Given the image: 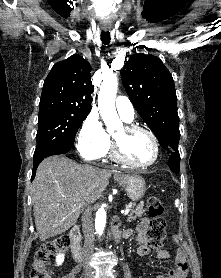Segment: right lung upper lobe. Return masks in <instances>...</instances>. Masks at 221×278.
Here are the masks:
<instances>
[{
    "label": "right lung upper lobe",
    "instance_id": "obj_1",
    "mask_svg": "<svg viewBox=\"0 0 221 278\" xmlns=\"http://www.w3.org/2000/svg\"><path fill=\"white\" fill-rule=\"evenodd\" d=\"M91 66L75 54L56 63L44 81L40 110L89 113L91 108Z\"/></svg>",
    "mask_w": 221,
    "mask_h": 278
}]
</instances>
